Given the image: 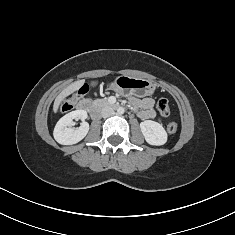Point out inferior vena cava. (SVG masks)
Returning <instances> with one entry per match:
<instances>
[{
  "mask_svg": "<svg viewBox=\"0 0 235 235\" xmlns=\"http://www.w3.org/2000/svg\"><path fill=\"white\" fill-rule=\"evenodd\" d=\"M113 113H114L113 109L109 106L104 107L101 111V115L103 118L110 117L111 115H113Z\"/></svg>",
  "mask_w": 235,
  "mask_h": 235,
  "instance_id": "1",
  "label": "inferior vena cava"
}]
</instances>
